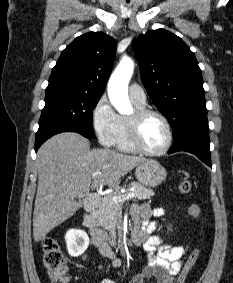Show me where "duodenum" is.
I'll list each match as a JSON object with an SVG mask.
<instances>
[{"instance_id": "1", "label": "duodenum", "mask_w": 233, "mask_h": 283, "mask_svg": "<svg viewBox=\"0 0 233 283\" xmlns=\"http://www.w3.org/2000/svg\"><path fill=\"white\" fill-rule=\"evenodd\" d=\"M101 200L95 195H89L85 201L84 225L91 231H98L97 211ZM143 234L135 230L131 235V242L134 246H140L143 241Z\"/></svg>"}]
</instances>
